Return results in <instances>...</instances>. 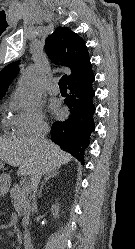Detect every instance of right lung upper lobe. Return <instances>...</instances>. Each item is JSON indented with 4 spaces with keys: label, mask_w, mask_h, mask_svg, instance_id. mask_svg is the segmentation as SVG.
<instances>
[{
    "label": "right lung upper lobe",
    "mask_w": 135,
    "mask_h": 249,
    "mask_svg": "<svg viewBox=\"0 0 135 249\" xmlns=\"http://www.w3.org/2000/svg\"><path fill=\"white\" fill-rule=\"evenodd\" d=\"M45 50L48 57L71 70L68 85L84 80L93 74L90 58L84 40L67 27H58L46 39ZM18 61L11 63L0 71V99L5 95L8 86L16 77Z\"/></svg>",
    "instance_id": "obj_1"
}]
</instances>
